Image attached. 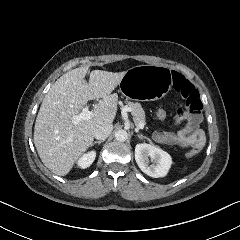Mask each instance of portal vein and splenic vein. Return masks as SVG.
Wrapping results in <instances>:
<instances>
[{"label":"portal vein and splenic vein","instance_id":"18ae733b","mask_svg":"<svg viewBox=\"0 0 240 240\" xmlns=\"http://www.w3.org/2000/svg\"><path fill=\"white\" fill-rule=\"evenodd\" d=\"M94 117H95V113L93 111H90V110H87V109H83L82 112L79 115L73 116L71 118V121H72V124L77 125L82 120H91ZM137 125L142 130L145 128L144 127L145 125L141 121H139Z\"/></svg>","mask_w":240,"mask_h":240}]
</instances>
